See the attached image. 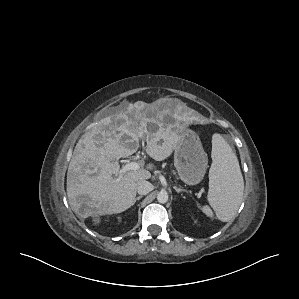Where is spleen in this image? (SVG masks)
Instances as JSON below:
<instances>
[{"instance_id": "1", "label": "spleen", "mask_w": 299, "mask_h": 299, "mask_svg": "<svg viewBox=\"0 0 299 299\" xmlns=\"http://www.w3.org/2000/svg\"><path fill=\"white\" fill-rule=\"evenodd\" d=\"M211 157L208 201L216 218L228 222L236 214L243 199L242 173L235 153L220 134L212 137ZM202 211L208 217H213L210 207L203 206Z\"/></svg>"}]
</instances>
